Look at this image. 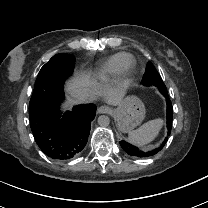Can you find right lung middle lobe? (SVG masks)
<instances>
[{
  "instance_id": "obj_1",
  "label": "right lung middle lobe",
  "mask_w": 208,
  "mask_h": 208,
  "mask_svg": "<svg viewBox=\"0 0 208 208\" xmlns=\"http://www.w3.org/2000/svg\"><path fill=\"white\" fill-rule=\"evenodd\" d=\"M52 60H61L63 62L61 72L64 76V80L73 72L75 59L71 54H56L45 65H47L49 62H52ZM40 73H41V70L38 74L37 80L39 78ZM37 80H36V82H37ZM29 113H30V116L33 115V113L30 110H29Z\"/></svg>"
}]
</instances>
